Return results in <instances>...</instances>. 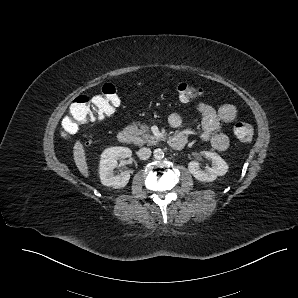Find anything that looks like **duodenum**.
Wrapping results in <instances>:
<instances>
[{
	"instance_id": "410a0bca",
	"label": "duodenum",
	"mask_w": 298,
	"mask_h": 298,
	"mask_svg": "<svg viewBox=\"0 0 298 298\" xmlns=\"http://www.w3.org/2000/svg\"><path fill=\"white\" fill-rule=\"evenodd\" d=\"M117 138L119 142L123 144H130L132 142L133 137L129 129H122L118 132ZM168 143L171 148L180 150L186 145L187 138L182 134H173L172 136H170Z\"/></svg>"
}]
</instances>
